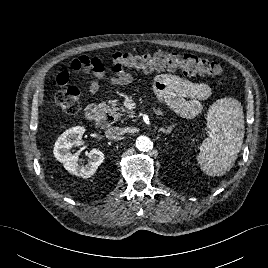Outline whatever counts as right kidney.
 Segmentation results:
<instances>
[{
    "mask_svg": "<svg viewBox=\"0 0 268 268\" xmlns=\"http://www.w3.org/2000/svg\"><path fill=\"white\" fill-rule=\"evenodd\" d=\"M84 132L85 128L81 126L66 130L56 141L53 153L69 173L82 178H90L103 163L104 154L98 149H93L85 153L88 158L85 164L78 163L77 155L71 153V148L82 138Z\"/></svg>",
    "mask_w": 268,
    "mask_h": 268,
    "instance_id": "obj_1",
    "label": "right kidney"
}]
</instances>
